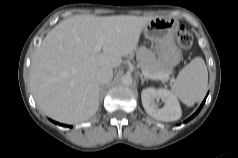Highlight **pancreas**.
<instances>
[{"instance_id":"1","label":"pancreas","mask_w":238,"mask_h":158,"mask_svg":"<svg viewBox=\"0 0 238 158\" xmlns=\"http://www.w3.org/2000/svg\"><path fill=\"white\" fill-rule=\"evenodd\" d=\"M138 66L143 70L148 71L151 74H168L169 69H167L159 59H157L153 53L142 46L136 51Z\"/></svg>"}]
</instances>
